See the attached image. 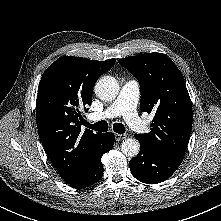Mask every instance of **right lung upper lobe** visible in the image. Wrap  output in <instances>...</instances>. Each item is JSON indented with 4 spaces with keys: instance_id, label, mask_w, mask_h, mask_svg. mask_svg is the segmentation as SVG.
Masks as SVG:
<instances>
[{
    "instance_id": "right-lung-upper-lobe-1",
    "label": "right lung upper lobe",
    "mask_w": 221,
    "mask_h": 221,
    "mask_svg": "<svg viewBox=\"0 0 221 221\" xmlns=\"http://www.w3.org/2000/svg\"><path fill=\"white\" fill-rule=\"evenodd\" d=\"M115 61L65 56L42 75L37 95V129L46 154L67 183L80 177L94 158L102 133L81 131L82 113L91 105L95 82Z\"/></svg>"
}]
</instances>
